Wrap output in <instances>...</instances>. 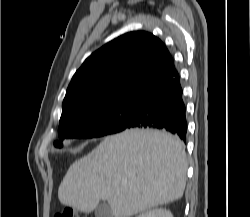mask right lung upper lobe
I'll list each match as a JSON object with an SVG mask.
<instances>
[{
    "label": "right lung upper lobe",
    "instance_id": "1",
    "mask_svg": "<svg viewBox=\"0 0 250 217\" xmlns=\"http://www.w3.org/2000/svg\"><path fill=\"white\" fill-rule=\"evenodd\" d=\"M174 72L160 39L144 31L126 33L95 51L74 74L60 122L85 110L137 100Z\"/></svg>",
    "mask_w": 250,
    "mask_h": 217
}]
</instances>
